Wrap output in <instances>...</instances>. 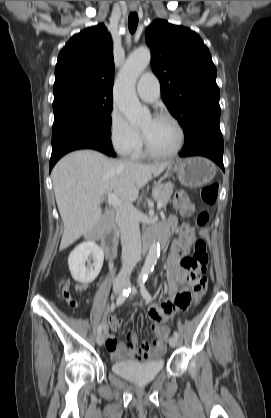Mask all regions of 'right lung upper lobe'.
<instances>
[{
	"mask_svg": "<svg viewBox=\"0 0 271 418\" xmlns=\"http://www.w3.org/2000/svg\"><path fill=\"white\" fill-rule=\"evenodd\" d=\"M114 62L110 35L103 24L74 35L55 67L54 101L73 96L112 97Z\"/></svg>",
	"mask_w": 271,
	"mask_h": 418,
	"instance_id": "obj_1",
	"label": "right lung upper lobe"
}]
</instances>
